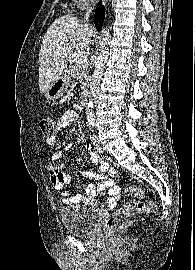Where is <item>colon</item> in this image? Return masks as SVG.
Instances as JSON below:
<instances>
[{
  "label": "colon",
  "instance_id": "colon-1",
  "mask_svg": "<svg viewBox=\"0 0 195 270\" xmlns=\"http://www.w3.org/2000/svg\"><path fill=\"white\" fill-rule=\"evenodd\" d=\"M39 127L43 135L50 137L55 130V122L50 117H44L39 122ZM125 191L129 194H135L137 197H142V191L137 187H127ZM156 204L153 202H135L133 204L124 205L113 214L107 217L103 224V229L106 233H111L114 228L123 219L137 214V213H149L154 211Z\"/></svg>",
  "mask_w": 195,
  "mask_h": 270
}]
</instances>
